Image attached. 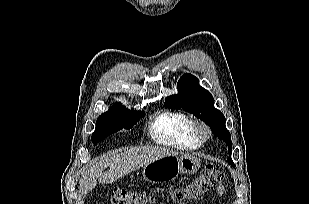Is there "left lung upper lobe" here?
Segmentation results:
<instances>
[{"label":"left lung upper lobe","instance_id":"1","mask_svg":"<svg viewBox=\"0 0 309 204\" xmlns=\"http://www.w3.org/2000/svg\"><path fill=\"white\" fill-rule=\"evenodd\" d=\"M178 94L166 98L165 106L171 109H183L204 121L215 136L224 140L228 146V162L235 166L232 159V143L229 131L225 127L224 115L214 107L211 93L199 85L198 79L184 74L178 81Z\"/></svg>","mask_w":309,"mask_h":204}]
</instances>
